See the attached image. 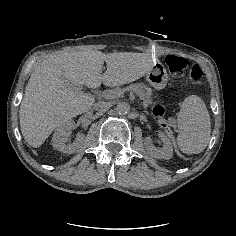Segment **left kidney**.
<instances>
[{
    "mask_svg": "<svg viewBox=\"0 0 236 236\" xmlns=\"http://www.w3.org/2000/svg\"><path fill=\"white\" fill-rule=\"evenodd\" d=\"M159 138L163 143V148H156L151 144L150 138L144 140V147L148 154H150L155 159L169 160L173 156V149L171 147L170 139L164 134L159 133Z\"/></svg>",
    "mask_w": 236,
    "mask_h": 236,
    "instance_id": "left-kidney-1",
    "label": "left kidney"
}]
</instances>
